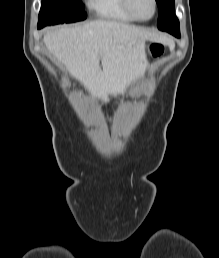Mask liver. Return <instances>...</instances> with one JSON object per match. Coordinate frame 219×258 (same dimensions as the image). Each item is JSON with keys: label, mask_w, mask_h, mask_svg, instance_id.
Here are the masks:
<instances>
[{"label": "liver", "mask_w": 219, "mask_h": 258, "mask_svg": "<svg viewBox=\"0 0 219 258\" xmlns=\"http://www.w3.org/2000/svg\"><path fill=\"white\" fill-rule=\"evenodd\" d=\"M147 40L172 43L142 28L105 20L62 27L48 31L43 37L47 49L69 73L103 102L110 95H123L140 76Z\"/></svg>", "instance_id": "obj_1"}]
</instances>
